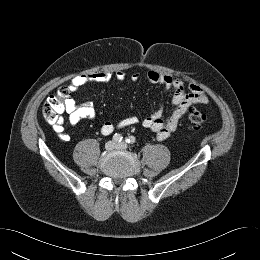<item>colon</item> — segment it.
<instances>
[{"label":"colon","mask_w":260,"mask_h":260,"mask_svg":"<svg viewBox=\"0 0 260 260\" xmlns=\"http://www.w3.org/2000/svg\"><path fill=\"white\" fill-rule=\"evenodd\" d=\"M69 98V91L61 87L56 95L46 99L42 107L43 118L50 124L60 123L61 115L66 110V102ZM189 126L191 129L197 130L202 128L208 122V116L203 112L191 109L188 114Z\"/></svg>","instance_id":"5ec220e1"}]
</instances>
